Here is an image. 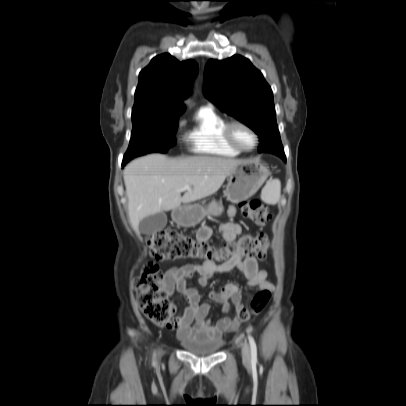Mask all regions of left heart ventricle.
Instances as JSON below:
<instances>
[{"label": "left heart ventricle", "mask_w": 406, "mask_h": 406, "mask_svg": "<svg viewBox=\"0 0 406 406\" xmlns=\"http://www.w3.org/2000/svg\"><path fill=\"white\" fill-rule=\"evenodd\" d=\"M233 136L237 143L245 148H250L254 144L252 134L244 127L236 126L233 129Z\"/></svg>", "instance_id": "1"}]
</instances>
